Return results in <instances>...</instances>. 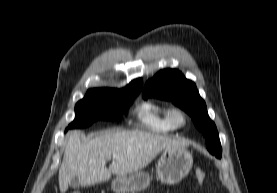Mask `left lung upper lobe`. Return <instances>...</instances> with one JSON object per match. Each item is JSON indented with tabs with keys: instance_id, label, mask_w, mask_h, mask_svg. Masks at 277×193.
Listing matches in <instances>:
<instances>
[{
	"instance_id": "1",
	"label": "left lung upper lobe",
	"mask_w": 277,
	"mask_h": 193,
	"mask_svg": "<svg viewBox=\"0 0 277 193\" xmlns=\"http://www.w3.org/2000/svg\"><path fill=\"white\" fill-rule=\"evenodd\" d=\"M143 97H156L172 101L185 110L196 127L205 136L207 149L217 158H221L222 148L214 122L209 118L206 104L200 97L195 84L186 79L181 72L165 69L148 80L143 90Z\"/></svg>"
}]
</instances>
